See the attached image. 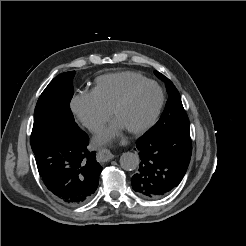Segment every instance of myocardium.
<instances>
[{
  "instance_id": "myocardium-1",
  "label": "myocardium",
  "mask_w": 246,
  "mask_h": 246,
  "mask_svg": "<svg viewBox=\"0 0 246 246\" xmlns=\"http://www.w3.org/2000/svg\"><path fill=\"white\" fill-rule=\"evenodd\" d=\"M154 86L159 94V98H158V102L156 104V107L151 115V117L142 125L138 126V127H134V128H126V130L131 133V134H143L146 131H148L158 120L163 105H164V101H165V94L163 91V88L154 80H145L143 82L137 83L135 85H133L131 88H129L124 94L123 96L116 102V104L114 105L113 109H112V115L114 116V118H117L118 113L120 112V110L131 100V98L134 96V94L136 92H138L140 89L146 87V86Z\"/></svg>"
}]
</instances>
